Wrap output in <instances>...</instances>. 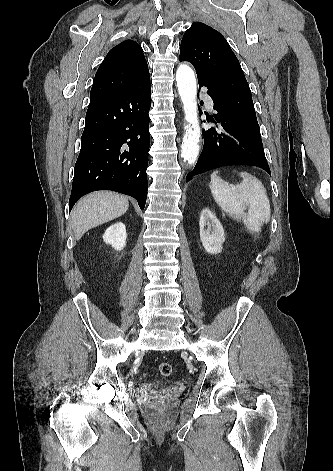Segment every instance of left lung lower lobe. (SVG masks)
Returning a JSON list of instances; mask_svg holds the SVG:
<instances>
[{"mask_svg": "<svg viewBox=\"0 0 333 471\" xmlns=\"http://www.w3.org/2000/svg\"><path fill=\"white\" fill-rule=\"evenodd\" d=\"M199 87L206 86L208 94L214 102L210 121L216 123L215 128L203 129L204 148L192 172L186 179L208 170L226 165H250L264 169L271 175L260 136L254 127L230 115L221 105L214 89L198 80Z\"/></svg>", "mask_w": 333, "mask_h": 471, "instance_id": "obj_1", "label": "left lung lower lobe"}]
</instances>
